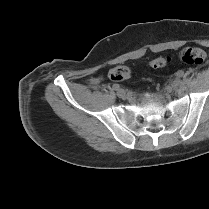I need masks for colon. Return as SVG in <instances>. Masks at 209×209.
Masks as SVG:
<instances>
[{"mask_svg": "<svg viewBox=\"0 0 209 209\" xmlns=\"http://www.w3.org/2000/svg\"><path fill=\"white\" fill-rule=\"evenodd\" d=\"M179 59L185 64L202 65L206 60V53L203 49L197 47H188L179 53ZM170 58L158 57L150 61V66L154 69H160L167 65ZM109 77L113 81H124L130 77V69L126 66H118L109 72Z\"/></svg>", "mask_w": 209, "mask_h": 209, "instance_id": "5ec220e1", "label": "colon"}]
</instances>
